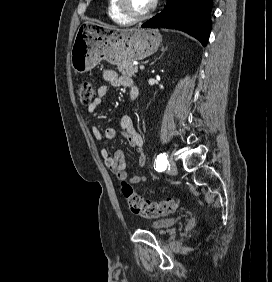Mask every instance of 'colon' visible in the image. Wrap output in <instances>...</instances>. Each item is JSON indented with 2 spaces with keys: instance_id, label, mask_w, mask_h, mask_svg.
<instances>
[{
  "instance_id": "1",
  "label": "colon",
  "mask_w": 272,
  "mask_h": 282,
  "mask_svg": "<svg viewBox=\"0 0 272 282\" xmlns=\"http://www.w3.org/2000/svg\"><path fill=\"white\" fill-rule=\"evenodd\" d=\"M98 85L94 82L82 80L77 86V95L82 104H89L93 101ZM121 194L125 199L129 210L143 218H159L175 212L179 206L177 199H166L160 202L144 200L135 189L125 180H121Z\"/></svg>"
}]
</instances>
